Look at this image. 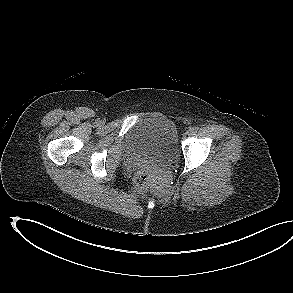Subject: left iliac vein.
I'll use <instances>...</instances> for the list:
<instances>
[{
  "label": "left iliac vein",
  "mask_w": 293,
  "mask_h": 293,
  "mask_svg": "<svg viewBox=\"0 0 293 293\" xmlns=\"http://www.w3.org/2000/svg\"><path fill=\"white\" fill-rule=\"evenodd\" d=\"M193 132H194L193 129L190 128V129L187 130L186 134H187V135H191Z\"/></svg>",
  "instance_id": "obj_1"
}]
</instances>
